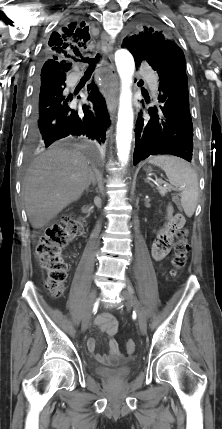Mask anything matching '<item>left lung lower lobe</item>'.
I'll use <instances>...</instances> for the list:
<instances>
[{
    "instance_id": "left-lung-lower-lobe-1",
    "label": "left lung lower lobe",
    "mask_w": 222,
    "mask_h": 429,
    "mask_svg": "<svg viewBox=\"0 0 222 429\" xmlns=\"http://www.w3.org/2000/svg\"><path fill=\"white\" fill-rule=\"evenodd\" d=\"M170 48L160 49L149 61L136 55V66L143 60L159 75V105L141 111L135 129L134 165L150 155L171 154L191 161L193 124L190 114L186 65L173 41ZM134 49V48H133Z\"/></svg>"
}]
</instances>
